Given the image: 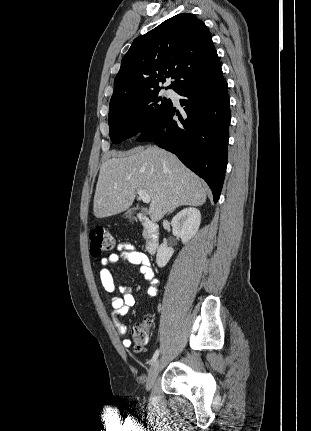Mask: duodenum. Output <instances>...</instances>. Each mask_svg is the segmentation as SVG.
I'll return each mask as SVG.
<instances>
[{"label":"duodenum","mask_w":311,"mask_h":431,"mask_svg":"<svg viewBox=\"0 0 311 431\" xmlns=\"http://www.w3.org/2000/svg\"><path fill=\"white\" fill-rule=\"evenodd\" d=\"M136 219L142 224L146 233V250L150 254H155L159 248V232L157 225L146 215L138 213Z\"/></svg>","instance_id":"duodenum-1"}]
</instances>
